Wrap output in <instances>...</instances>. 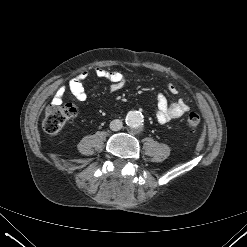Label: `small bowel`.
<instances>
[{
	"label": "small bowel",
	"mask_w": 247,
	"mask_h": 247,
	"mask_svg": "<svg viewBox=\"0 0 247 247\" xmlns=\"http://www.w3.org/2000/svg\"><path fill=\"white\" fill-rule=\"evenodd\" d=\"M95 74L97 77L105 79L110 82V92L116 93L124 88L126 80L124 75L119 71H108L104 68H96ZM87 72H82L78 76L70 80L68 88L61 86L57 89L53 96V103L61 104L68 89L69 93L78 101L83 102L87 99V94L84 89L83 81L87 77ZM167 89L172 94H177V87L170 83ZM189 110L188 105L184 100L179 99L175 102L169 103L164 94L157 96V111L156 118L160 124L168 123L173 119L180 118Z\"/></svg>",
	"instance_id": "c3829d8e"
}]
</instances>
